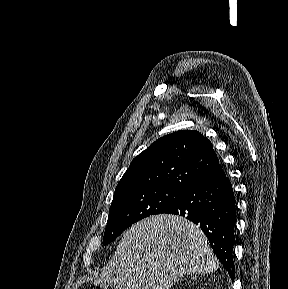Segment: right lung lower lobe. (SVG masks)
I'll return each instance as SVG.
<instances>
[{
  "label": "right lung lower lobe",
  "mask_w": 288,
  "mask_h": 289,
  "mask_svg": "<svg viewBox=\"0 0 288 289\" xmlns=\"http://www.w3.org/2000/svg\"><path fill=\"white\" fill-rule=\"evenodd\" d=\"M164 213L185 216L200 225L217 258L234 279L235 197L220 164L186 188L181 199Z\"/></svg>",
  "instance_id": "98d812e1"
}]
</instances>
